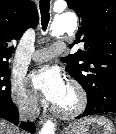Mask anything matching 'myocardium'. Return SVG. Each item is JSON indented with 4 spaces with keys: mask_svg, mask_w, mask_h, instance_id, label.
Masks as SVG:
<instances>
[{
    "mask_svg": "<svg viewBox=\"0 0 116 134\" xmlns=\"http://www.w3.org/2000/svg\"><path fill=\"white\" fill-rule=\"evenodd\" d=\"M68 90L74 98V103L70 108H63L61 106H54V112L65 119H72L84 112L87 106V94L78 83H70Z\"/></svg>",
    "mask_w": 116,
    "mask_h": 134,
    "instance_id": "obj_1",
    "label": "myocardium"
}]
</instances>
